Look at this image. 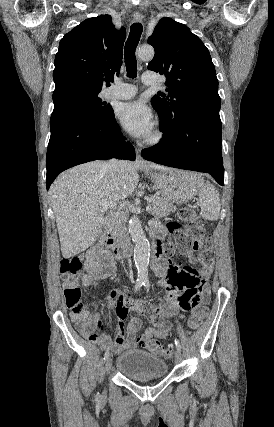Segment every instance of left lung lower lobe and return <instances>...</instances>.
I'll list each match as a JSON object with an SVG mask.
<instances>
[{"instance_id":"0a47b994","label":"left lung lower lobe","mask_w":274,"mask_h":427,"mask_svg":"<svg viewBox=\"0 0 274 427\" xmlns=\"http://www.w3.org/2000/svg\"><path fill=\"white\" fill-rule=\"evenodd\" d=\"M157 145L144 149L143 158L158 164L209 173L224 184L220 117L208 113L186 116Z\"/></svg>"}]
</instances>
